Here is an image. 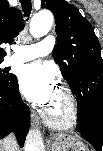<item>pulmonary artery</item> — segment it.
<instances>
[{
	"instance_id": "1",
	"label": "pulmonary artery",
	"mask_w": 103,
	"mask_h": 151,
	"mask_svg": "<svg viewBox=\"0 0 103 151\" xmlns=\"http://www.w3.org/2000/svg\"><path fill=\"white\" fill-rule=\"evenodd\" d=\"M55 45L53 36H46L41 42L31 45L16 47V54L13 58L15 63H22L49 54Z\"/></svg>"
}]
</instances>
